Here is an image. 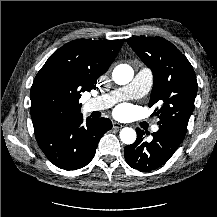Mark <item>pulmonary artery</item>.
Listing matches in <instances>:
<instances>
[{"label": "pulmonary artery", "mask_w": 217, "mask_h": 217, "mask_svg": "<svg viewBox=\"0 0 217 217\" xmlns=\"http://www.w3.org/2000/svg\"><path fill=\"white\" fill-rule=\"evenodd\" d=\"M153 82V75L150 69H140L133 80L126 86L114 90L110 93L91 98L83 105V111L90 113L94 111H100L110 108L116 102L126 99H137L146 95ZM151 130L157 132L159 126L157 124L152 125Z\"/></svg>", "instance_id": "pulmonary-artery-1"}]
</instances>
